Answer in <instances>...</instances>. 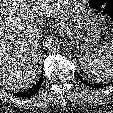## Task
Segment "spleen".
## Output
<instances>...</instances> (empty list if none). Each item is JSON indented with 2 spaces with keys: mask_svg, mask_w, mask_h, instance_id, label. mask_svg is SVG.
<instances>
[{
  "mask_svg": "<svg viewBox=\"0 0 113 113\" xmlns=\"http://www.w3.org/2000/svg\"><path fill=\"white\" fill-rule=\"evenodd\" d=\"M79 62L92 81L104 82L113 79V39L100 46L98 52L81 56Z\"/></svg>",
  "mask_w": 113,
  "mask_h": 113,
  "instance_id": "3e777b00",
  "label": "spleen"
}]
</instances>
